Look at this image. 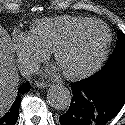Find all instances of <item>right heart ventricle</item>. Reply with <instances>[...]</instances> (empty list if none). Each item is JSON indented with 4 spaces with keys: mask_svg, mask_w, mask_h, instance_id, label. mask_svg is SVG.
Returning a JSON list of instances; mask_svg holds the SVG:
<instances>
[{
    "mask_svg": "<svg viewBox=\"0 0 125 125\" xmlns=\"http://www.w3.org/2000/svg\"><path fill=\"white\" fill-rule=\"evenodd\" d=\"M88 19L90 18L68 15L42 18L32 24L30 33L37 45L49 53L61 37Z\"/></svg>",
    "mask_w": 125,
    "mask_h": 125,
    "instance_id": "e07e8e85",
    "label": "right heart ventricle"
}]
</instances>
